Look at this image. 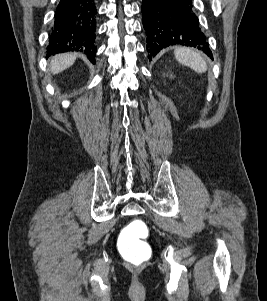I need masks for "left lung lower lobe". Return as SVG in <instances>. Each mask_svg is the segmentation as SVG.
I'll use <instances>...</instances> for the list:
<instances>
[{
	"label": "left lung lower lobe",
	"instance_id": "left-lung-lower-lobe-1",
	"mask_svg": "<svg viewBox=\"0 0 267 301\" xmlns=\"http://www.w3.org/2000/svg\"><path fill=\"white\" fill-rule=\"evenodd\" d=\"M192 7V0H143L149 60L161 49L176 44L195 47L213 59Z\"/></svg>",
	"mask_w": 267,
	"mask_h": 301
}]
</instances>
